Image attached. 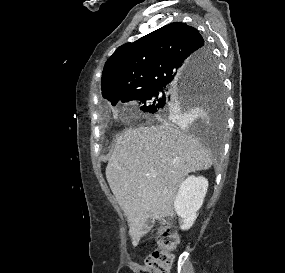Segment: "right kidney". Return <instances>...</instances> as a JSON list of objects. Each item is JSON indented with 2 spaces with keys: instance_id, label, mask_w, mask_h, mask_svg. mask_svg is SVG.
Listing matches in <instances>:
<instances>
[{
  "instance_id": "ca27d5eb",
  "label": "right kidney",
  "mask_w": 285,
  "mask_h": 273,
  "mask_svg": "<svg viewBox=\"0 0 285 273\" xmlns=\"http://www.w3.org/2000/svg\"><path fill=\"white\" fill-rule=\"evenodd\" d=\"M208 189L206 178L199 176H189L179 186L178 193L174 201V208L181 217L182 230L192 227L197 218V211L201 208Z\"/></svg>"
}]
</instances>
